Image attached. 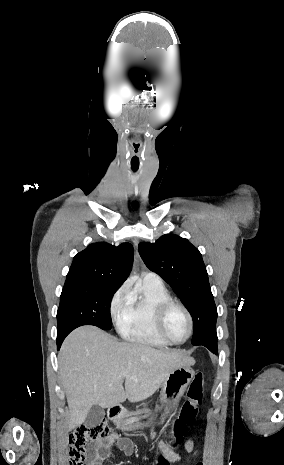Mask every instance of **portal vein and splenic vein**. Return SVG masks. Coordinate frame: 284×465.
Here are the masks:
<instances>
[{"instance_id": "1", "label": "portal vein and splenic vein", "mask_w": 284, "mask_h": 465, "mask_svg": "<svg viewBox=\"0 0 284 465\" xmlns=\"http://www.w3.org/2000/svg\"><path fill=\"white\" fill-rule=\"evenodd\" d=\"M122 377H129V375H127V373H122Z\"/></svg>"}]
</instances>
